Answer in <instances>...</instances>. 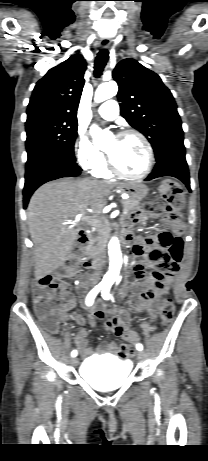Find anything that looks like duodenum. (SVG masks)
<instances>
[{"label": "duodenum", "instance_id": "410a0bca", "mask_svg": "<svg viewBox=\"0 0 208 461\" xmlns=\"http://www.w3.org/2000/svg\"><path fill=\"white\" fill-rule=\"evenodd\" d=\"M125 229L126 230L121 235V240H122L123 243H128L131 240L132 235L128 231L127 228H125ZM77 241H78L79 245L86 246L87 244H89L90 236L88 235V233L85 230L79 229L78 230V239H77ZM98 261H99V256H98V253L95 252L90 257H88L86 259L84 265L88 270H92L97 266Z\"/></svg>", "mask_w": 208, "mask_h": 461}]
</instances>
